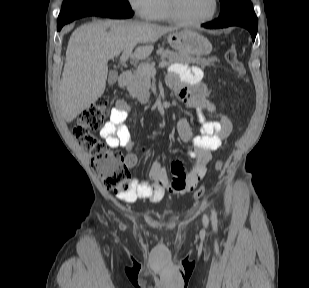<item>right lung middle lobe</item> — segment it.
Masks as SVG:
<instances>
[{"label":"right lung middle lobe","instance_id":"obj_1","mask_svg":"<svg viewBox=\"0 0 309 288\" xmlns=\"http://www.w3.org/2000/svg\"><path fill=\"white\" fill-rule=\"evenodd\" d=\"M97 7L131 10L128 0H65L58 16L57 25L66 23L81 12Z\"/></svg>","mask_w":309,"mask_h":288}]
</instances>
